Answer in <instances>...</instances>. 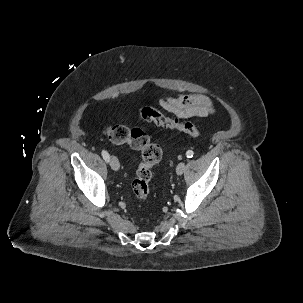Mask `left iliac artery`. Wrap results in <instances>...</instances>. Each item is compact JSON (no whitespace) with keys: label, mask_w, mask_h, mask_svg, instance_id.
Returning <instances> with one entry per match:
<instances>
[{"label":"left iliac artery","mask_w":303,"mask_h":303,"mask_svg":"<svg viewBox=\"0 0 303 303\" xmlns=\"http://www.w3.org/2000/svg\"><path fill=\"white\" fill-rule=\"evenodd\" d=\"M193 155H194V152H193L192 150H188V151L186 152V157H187V158H192Z\"/></svg>","instance_id":"1"}]
</instances>
